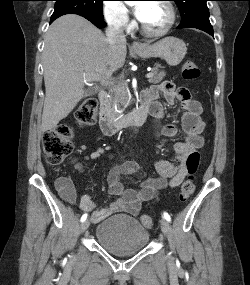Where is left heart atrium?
I'll use <instances>...</instances> for the list:
<instances>
[{
    "label": "left heart atrium",
    "instance_id": "39dd6f15",
    "mask_svg": "<svg viewBox=\"0 0 250 285\" xmlns=\"http://www.w3.org/2000/svg\"><path fill=\"white\" fill-rule=\"evenodd\" d=\"M146 7H147V3H141L135 8L134 13L140 21H142L144 15H145Z\"/></svg>",
    "mask_w": 250,
    "mask_h": 285
}]
</instances>
